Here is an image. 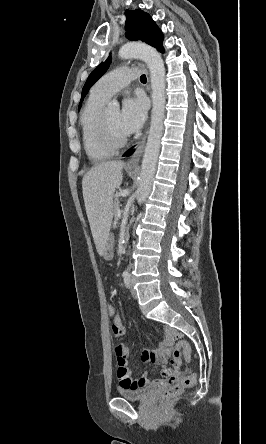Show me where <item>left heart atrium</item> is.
Listing matches in <instances>:
<instances>
[{"label": "left heart atrium", "mask_w": 266, "mask_h": 444, "mask_svg": "<svg viewBox=\"0 0 266 444\" xmlns=\"http://www.w3.org/2000/svg\"><path fill=\"white\" fill-rule=\"evenodd\" d=\"M147 114V104L143 97L127 98L119 115V124L127 134L138 131L143 125Z\"/></svg>", "instance_id": "1"}]
</instances>
